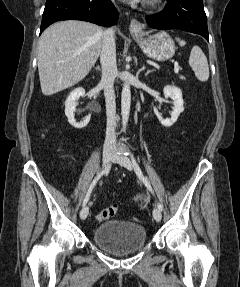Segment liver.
<instances>
[{
    "label": "liver",
    "instance_id": "1",
    "mask_svg": "<svg viewBox=\"0 0 240 287\" xmlns=\"http://www.w3.org/2000/svg\"><path fill=\"white\" fill-rule=\"evenodd\" d=\"M103 32L95 24L67 20L42 33L38 72L44 95L65 90L86 77L101 53Z\"/></svg>",
    "mask_w": 240,
    "mask_h": 287
}]
</instances>
